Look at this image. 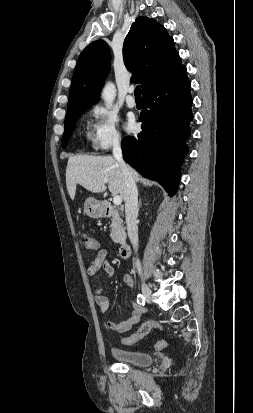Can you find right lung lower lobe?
<instances>
[{
    "label": "right lung lower lobe",
    "mask_w": 253,
    "mask_h": 413,
    "mask_svg": "<svg viewBox=\"0 0 253 413\" xmlns=\"http://www.w3.org/2000/svg\"><path fill=\"white\" fill-rule=\"evenodd\" d=\"M191 83L185 66L167 81L143 93L142 132L122 140L124 160L142 176L156 180L173 196L188 152Z\"/></svg>",
    "instance_id": "1"
}]
</instances>
